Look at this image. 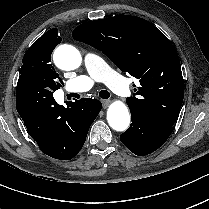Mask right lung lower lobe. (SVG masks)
I'll return each mask as SVG.
<instances>
[{
  "instance_id": "obj_1",
  "label": "right lung lower lobe",
  "mask_w": 209,
  "mask_h": 209,
  "mask_svg": "<svg viewBox=\"0 0 209 209\" xmlns=\"http://www.w3.org/2000/svg\"><path fill=\"white\" fill-rule=\"evenodd\" d=\"M16 108L41 151L55 159L70 160L83 147L88 130L102 104L96 99L58 105L53 94L28 82L17 84ZM81 105L84 114L77 116Z\"/></svg>"
}]
</instances>
